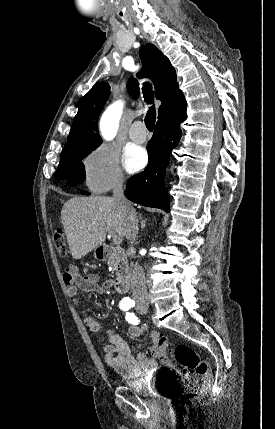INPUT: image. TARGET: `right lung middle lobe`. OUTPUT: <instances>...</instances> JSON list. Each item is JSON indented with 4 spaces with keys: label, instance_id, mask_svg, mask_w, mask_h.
<instances>
[{
    "label": "right lung middle lobe",
    "instance_id": "dd1d6c3e",
    "mask_svg": "<svg viewBox=\"0 0 275 429\" xmlns=\"http://www.w3.org/2000/svg\"><path fill=\"white\" fill-rule=\"evenodd\" d=\"M91 151L79 155L61 157L57 168L56 179H65L69 186H75L82 183L85 179L84 165L82 159L85 158ZM87 194L86 192H82Z\"/></svg>",
    "mask_w": 275,
    "mask_h": 429
}]
</instances>
